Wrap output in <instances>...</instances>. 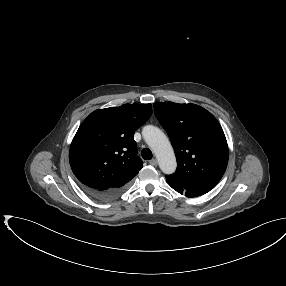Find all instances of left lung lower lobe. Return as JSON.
Masks as SVG:
<instances>
[{
  "mask_svg": "<svg viewBox=\"0 0 286 286\" xmlns=\"http://www.w3.org/2000/svg\"><path fill=\"white\" fill-rule=\"evenodd\" d=\"M168 184L176 190L180 194H185L187 197H196L207 193V190L195 188V187H187L179 182L173 181L166 177Z\"/></svg>",
  "mask_w": 286,
  "mask_h": 286,
  "instance_id": "1",
  "label": "left lung lower lobe"
}]
</instances>
